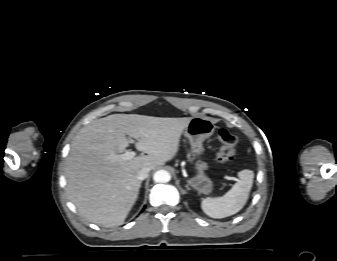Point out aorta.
<instances>
[{
    "instance_id": "1",
    "label": "aorta",
    "mask_w": 337,
    "mask_h": 261,
    "mask_svg": "<svg viewBox=\"0 0 337 261\" xmlns=\"http://www.w3.org/2000/svg\"><path fill=\"white\" fill-rule=\"evenodd\" d=\"M153 179L155 182L158 183H166L169 182L171 179L170 173L166 170H158L155 172Z\"/></svg>"
}]
</instances>
